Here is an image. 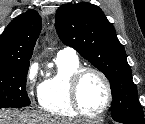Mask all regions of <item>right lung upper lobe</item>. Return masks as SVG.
I'll return each instance as SVG.
<instances>
[{"instance_id":"right-lung-upper-lobe-1","label":"right lung upper lobe","mask_w":145,"mask_h":124,"mask_svg":"<svg viewBox=\"0 0 145 124\" xmlns=\"http://www.w3.org/2000/svg\"><path fill=\"white\" fill-rule=\"evenodd\" d=\"M41 27V18L35 10L14 18L0 35V65L29 61Z\"/></svg>"}]
</instances>
